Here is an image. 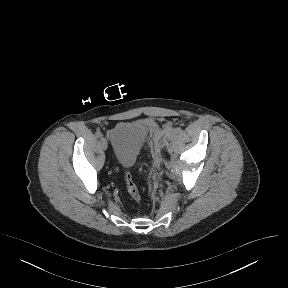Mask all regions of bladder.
I'll use <instances>...</instances> for the list:
<instances>
[{
  "label": "bladder",
  "mask_w": 288,
  "mask_h": 288,
  "mask_svg": "<svg viewBox=\"0 0 288 288\" xmlns=\"http://www.w3.org/2000/svg\"><path fill=\"white\" fill-rule=\"evenodd\" d=\"M148 135V128L139 122L122 123L109 133L113 156L122 167L131 166Z\"/></svg>",
  "instance_id": "bladder-1"
}]
</instances>
